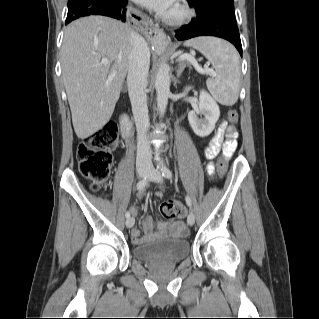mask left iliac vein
<instances>
[{"label": "left iliac vein", "mask_w": 319, "mask_h": 319, "mask_svg": "<svg viewBox=\"0 0 319 319\" xmlns=\"http://www.w3.org/2000/svg\"><path fill=\"white\" fill-rule=\"evenodd\" d=\"M162 179L163 178H162V175L160 173H157L154 170H152V173H151V180L152 181L160 183V182H162ZM187 223L191 226L195 223V216H194L193 212H190L188 214Z\"/></svg>", "instance_id": "4c4485c4"}]
</instances>
